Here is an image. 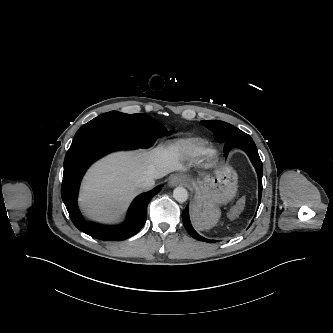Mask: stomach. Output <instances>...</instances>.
<instances>
[{"label":"stomach","mask_w":333,"mask_h":333,"mask_svg":"<svg viewBox=\"0 0 333 333\" xmlns=\"http://www.w3.org/2000/svg\"><path fill=\"white\" fill-rule=\"evenodd\" d=\"M238 176L229 164L221 165L215 175L190 181L194 190L191 218L197 229H210L221 216L219 206L230 202L237 192Z\"/></svg>","instance_id":"obj_1"}]
</instances>
